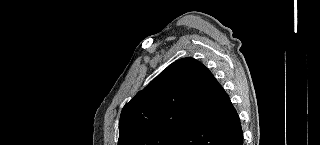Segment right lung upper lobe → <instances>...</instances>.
Listing matches in <instances>:
<instances>
[{
	"label": "right lung upper lobe",
	"instance_id": "obj_1",
	"mask_svg": "<svg viewBox=\"0 0 320 145\" xmlns=\"http://www.w3.org/2000/svg\"><path fill=\"white\" fill-rule=\"evenodd\" d=\"M222 87L194 58L169 65L122 109L118 145L166 129H184L216 113Z\"/></svg>",
	"mask_w": 320,
	"mask_h": 145
}]
</instances>
